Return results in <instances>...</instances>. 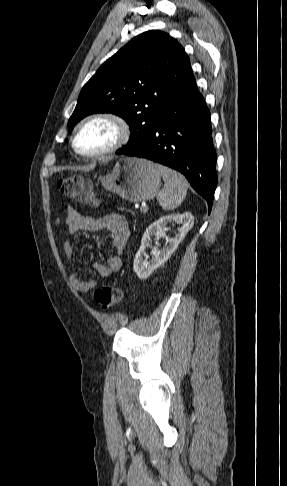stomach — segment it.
<instances>
[{"instance_id": "stomach-1", "label": "stomach", "mask_w": 287, "mask_h": 486, "mask_svg": "<svg viewBox=\"0 0 287 486\" xmlns=\"http://www.w3.org/2000/svg\"><path fill=\"white\" fill-rule=\"evenodd\" d=\"M160 183L161 173L157 164L137 157L120 159L113 170L101 179L104 189L130 202L153 199Z\"/></svg>"}]
</instances>
